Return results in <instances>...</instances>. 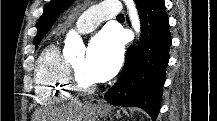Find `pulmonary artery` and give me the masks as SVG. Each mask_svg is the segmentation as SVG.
I'll list each match as a JSON object with an SVG mask.
<instances>
[{
    "label": "pulmonary artery",
    "mask_w": 217,
    "mask_h": 121,
    "mask_svg": "<svg viewBox=\"0 0 217 121\" xmlns=\"http://www.w3.org/2000/svg\"><path fill=\"white\" fill-rule=\"evenodd\" d=\"M120 10L121 8L116 2H102L94 5L78 17L75 28L80 33L91 32L101 21L116 18Z\"/></svg>",
    "instance_id": "e3ab8cb5"
}]
</instances>
